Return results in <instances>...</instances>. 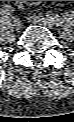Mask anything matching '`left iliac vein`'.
Here are the masks:
<instances>
[{
	"label": "left iliac vein",
	"instance_id": "4c4485c4",
	"mask_svg": "<svg viewBox=\"0 0 74 122\" xmlns=\"http://www.w3.org/2000/svg\"><path fill=\"white\" fill-rule=\"evenodd\" d=\"M29 21L36 25L45 26L49 30H53V28H54V23L52 21H50L47 18L40 17V16H31V17H29Z\"/></svg>",
	"mask_w": 74,
	"mask_h": 122
}]
</instances>
